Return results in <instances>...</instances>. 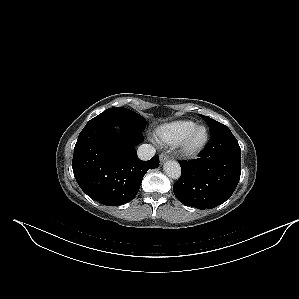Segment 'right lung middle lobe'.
<instances>
[{
  "label": "right lung middle lobe",
  "mask_w": 299,
  "mask_h": 299,
  "mask_svg": "<svg viewBox=\"0 0 299 299\" xmlns=\"http://www.w3.org/2000/svg\"><path fill=\"white\" fill-rule=\"evenodd\" d=\"M102 114H110L118 118H121L140 131H143L145 129L147 123L141 115L135 113L132 110L122 107L109 108L105 110Z\"/></svg>",
  "instance_id": "obj_1"
}]
</instances>
